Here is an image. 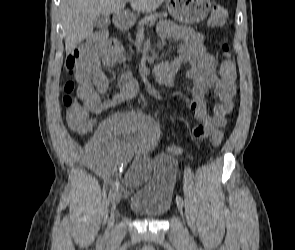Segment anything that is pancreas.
<instances>
[{
  "label": "pancreas",
  "mask_w": 295,
  "mask_h": 250,
  "mask_svg": "<svg viewBox=\"0 0 295 250\" xmlns=\"http://www.w3.org/2000/svg\"><path fill=\"white\" fill-rule=\"evenodd\" d=\"M167 14L164 12L161 13H151L150 15L144 17L143 19H141L138 23V27L137 30L138 32L142 31L144 29L145 25H153L155 24L157 19H162V18H166Z\"/></svg>",
  "instance_id": "1"
}]
</instances>
